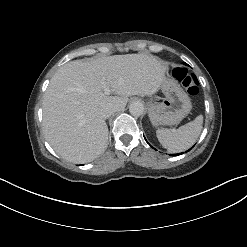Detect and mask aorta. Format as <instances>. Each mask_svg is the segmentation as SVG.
Instances as JSON below:
<instances>
[{
	"label": "aorta",
	"instance_id": "1",
	"mask_svg": "<svg viewBox=\"0 0 247 247\" xmlns=\"http://www.w3.org/2000/svg\"><path fill=\"white\" fill-rule=\"evenodd\" d=\"M129 111L131 115L139 117L144 112V105L139 101L132 102L129 106Z\"/></svg>",
	"mask_w": 247,
	"mask_h": 247
}]
</instances>
